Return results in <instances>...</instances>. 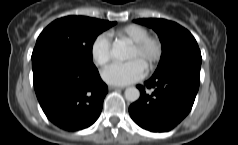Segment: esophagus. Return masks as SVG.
<instances>
[{
    "mask_svg": "<svg viewBox=\"0 0 238 145\" xmlns=\"http://www.w3.org/2000/svg\"><path fill=\"white\" fill-rule=\"evenodd\" d=\"M125 87H119V86H109V90H123Z\"/></svg>",
    "mask_w": 238,
    "mask_h": 145,
    "instance_id": "34e87169",
    "label": "esophagus"
}]
</instances>
